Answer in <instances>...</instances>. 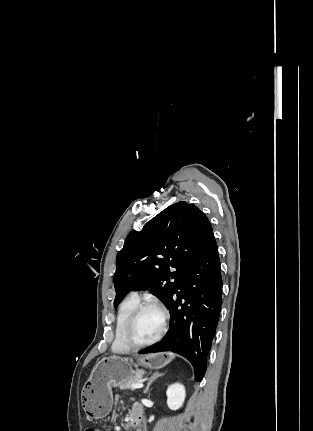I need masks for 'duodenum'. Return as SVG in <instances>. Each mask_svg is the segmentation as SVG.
I'll return each instance as SVG.
<instances>
[{
	"label": "duodenum",
	"mask_w": 313,
	"mask_h": 431,
	"mask_svg": "<svg viewBox=\"0 0 313 431\" xmlns=\"http://www.w3.org/2000/svg\"><path fill=\"white\" fill-rule=\"evenodd\" d=\"M140 420L141 418L138 414H132L128 421L129 428L135 427L140 422Z\"/></svg>",
	"instance_id": "duodenum-1"
}]
</instances>
